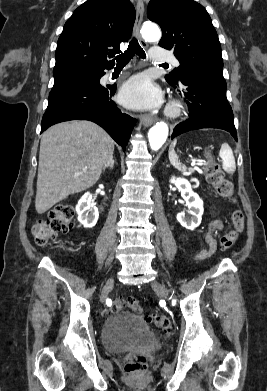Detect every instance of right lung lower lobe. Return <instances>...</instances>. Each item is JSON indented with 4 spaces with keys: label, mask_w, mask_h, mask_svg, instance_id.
I'll use <instances>...</instances> for the list:
<instances>
[{
    "label": "right lung lower lobe",
    "mask_w": 267,
    "mask_h": 391,
    "mask_svg": "<svg viewBox=\"0 0 267 391\" xmlns=\"http://www.w3.org/2000/svg\"><path fill=\"white\" fill-rule=\"evenodd\" d=\"M93 74L95 77L89 80L53 87L42 118L41 132L59 122L89 120L105 129L125 151L135 119L122 113L111 100L115 85H100V78L105 74L104 69Z\"/></svg>",
    "instance_id": "right-lung-lower-lobe-1"
}]
</instances>
